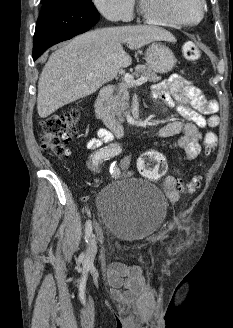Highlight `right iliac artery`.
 <instances>
[{
	"label": "right iliac artery",
	"instance_id": "1",
	"mask_svg": "<svg viewBox=\"0 0 233 328\" xmlns=\"http://www.w3.org/2000/svg\"><path fill=\"white\" fill-rule=\"evenodd\" d=\"M121 152V149L117 145H111L101 151H98L95 153L92 159V165L94 167H97L100 163H102L105 160H108L116 155H118ZM92 234V224L91 221L86 222V228H85V239L88 240ZM85 254L82 253L79 256V260H83Z\"/></svg>",
	"mask_w": 233,
	"mask_h": 328
}]
</instances>
